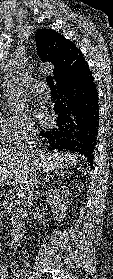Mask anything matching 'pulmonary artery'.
I'll list each match as a JSON object with an SVG mask.
<instances>
[{
	"label": "pulmonary artery",
	"instance_id": "obj_1",
	"mask_svg": "<svg viewBox=\"0 0 113 279\" xmlns=\"http://www.w3.org/2000/svg\"><path fill=\"white\" fill-rule=\"evenodd\" d=\"M33 87L36 93L43 95L45 98L49 97V88L44 81H35Z\"/></svg>",
	"mask_w": 113,
	"mask_h": 279
}]
</instances>
